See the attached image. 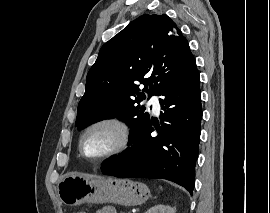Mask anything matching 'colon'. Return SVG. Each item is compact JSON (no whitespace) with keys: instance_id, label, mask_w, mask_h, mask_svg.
Here are the masks:
<instances>
[{"instance_id":"obj_1","label":"colon","mask_w":270,"mask_h":213,"mask_svg":"<svg viewBox=\"0 0 270 213\" xmlns=\"http://www.w3.org/2000/svg\"><path fill=\"white\" fill-rule=\"evenodd\" d=\"M75 213H85L84 211H77V212H75Z\"/></svg>"}]
</instances>
